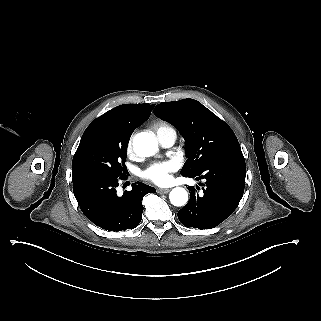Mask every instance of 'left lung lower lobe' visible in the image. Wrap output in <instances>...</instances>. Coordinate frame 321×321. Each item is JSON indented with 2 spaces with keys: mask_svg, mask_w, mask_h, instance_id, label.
I'll return each mask as SVG.
<instances>
[{
  "mask_svg": "<svg viewBox=\"0 0 321 321\" xmlns=\"http://www.w3.org/2000/svg\"><path fill=\"white\" fill-rule=\"evenodd\" d=\"M246 164L242 153L217 158L197 173L184 176L203 179V194L189 186L190 200L178 212L179 221L188 228L211 229L237 208L243 193ZM197 189L199 187L197 186Z\"/></svg>",
  "mask_w": 321,
  "mask_h": 321,
  "instance_id": "left-lung-lower-lobe-1",
  "label": "left lung lower lobe"
}]
</instances>
